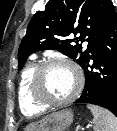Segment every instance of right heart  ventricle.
<instances>
[{"instance_id": "obj_1", "label": "right heart ventricle", "mask_w": 117, "mask_h": 131, "mask_svg": "<svg viewBox=\"0 0 117 131\" xmlns=\"http://www.w3.org/2000/svg\"><path fill=\"white\" fill-rule=\"evenodd\" d=\"M38 66L36 61H32L23 70L18 85V102L23 114L27 116L38 115L45 111L46 107L38 105L31 97L30 82L35 68Z\"/></svg>"}]
</instances>
